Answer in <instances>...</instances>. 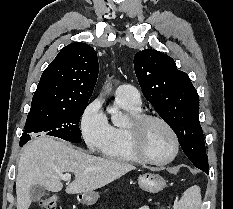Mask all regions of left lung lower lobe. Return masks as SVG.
I'll return each instance as SVG.
<instances>
[{"label": "left lung lower lobe", "instance_id": "left-lung-lower-lobe-1", "mask_svg": "<svg viewBox=\"0 0 233 209\" xmlns=\"http://www.w3.org/2000/svg\"><path fill=\"white\" fill-rule=\"evenodd\" d=\"M201 170H203L205 173H209V166L208 167H206V168H203V169H201Z\"/></svg>", "mask_w": 233, "mask_h": 209}]
</instances>
